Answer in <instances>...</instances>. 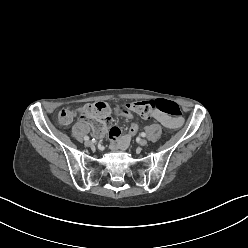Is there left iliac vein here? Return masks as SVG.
I'll list each match as a JSON object with an SVG mask.
<instances>
[{
  "instance_id": "left-iliac-vein-1",
  "label": "left iliac vein",
  "mask_w": 248,
  "mask_h": 248,
  "mask_svg": "<svg viewBox=\"0 0 248 248\" xmlns=\"http://www.w3.org/2000/svg\"><path fill=\"white\" fill-rule=\"evenodd\" d=\"M139 143H140L141 146H146L147 145V140L146 139H141Z\"/></svg>"
}]
</instances>
